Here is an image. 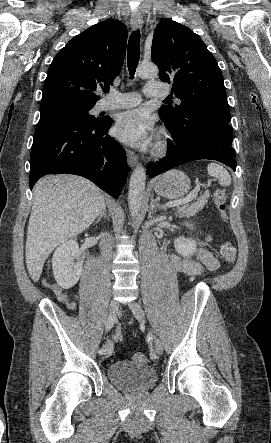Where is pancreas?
I'll list each match as a JSON object with an SVG mask.
<instances>
[{
	"label": "pancreas",
	"mask_w": 271,
	"mask_h": 443,
	"mask_svg": "<svg viewBox=\"0 0 271 443\" xmlns=\"http://www.w3.org/2000/svg\"><path fill=\"white\" fill-rule=\"evenodd\" d=\"M208 198H210L209 192H204L203 196L197 198V202H195V204H191V206H187V204H180L182 208H180V206H176L179 218H182V216L189 218V216H195V214H198L199 210H203L205 204H207Z\"/></svg>",
	"instance_id": "1"
}]
</instances>
